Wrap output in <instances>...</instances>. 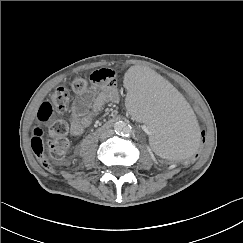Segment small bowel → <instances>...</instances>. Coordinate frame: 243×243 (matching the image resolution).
Listing matches in <instances>:
<instances>
[{"label": "small bowel", "mask_w": 243, "mask_h": 243, "mask_svg": "<svg viewBox=\"0 0 243 243\" xmlns=\"http://www.w3.org/2000/svg\"><path fill=\"white\" fill-rule=\"evenodd\" d=\"M114 75L115 79L111 84L92 83L88 90L76 97L70 117V133L73 136L82 134L107 103H117L119 101L115 72Z\"/></svg>", "instance_id": "c3829d8e"}]
</instances>
